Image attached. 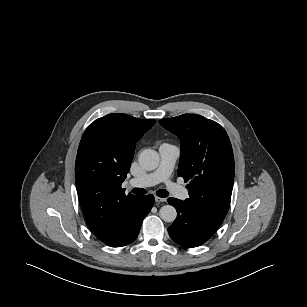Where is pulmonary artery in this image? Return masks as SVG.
Returning <instances> with one entry per match:
<instances>
[{
	"instance_id": "obj_1",
	"label": "pulmonary artery",
	"mask_w": 307,
	"mask_h": 307,
	"mask_svg": "<svg viewBox=\"0 0 307 307\" xmlns=\"http://www.w3.org/2000/svg\"><path fill=\"white\" fill-rule=\"evenodd\" d=\"M159 155L160 162L156 170L142 177L131 179L129 184L133 187H147L164 182L175 197L182 200L187 199L189 197L188 191L180 185L170 182V176L180 156L179 147L170 143H163L159 147Z\"/></svg>"
}]
</instances>
